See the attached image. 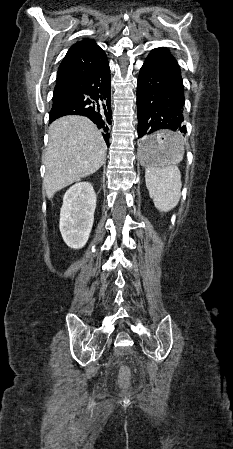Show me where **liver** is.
Returning <instances> with one entry per match:
<instances>
[{"instance_id": "1", "label": "liver", "mask_w": 233, "mask_h": 449, "mask_svg": "<svg viewBox=\"0 0 233 449\" xmlns=\"http://www.w3.org/2000/svg\"><path fill=\"white\" fill-rule=\"evenodd\" d=\"M105 156L101 132L87 117L70 115L55 120L49 127V143L43 156V189L47 197L95 173Z\"/></svg>"}]
</instances>
